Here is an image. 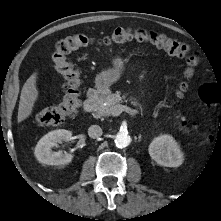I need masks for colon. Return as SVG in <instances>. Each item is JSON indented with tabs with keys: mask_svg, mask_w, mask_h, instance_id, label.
<instances>
[{
	"mask_svg": "<svg viewBox=\"0 0 221 221\" xmlns=\"http://www.w3.org/2000/svg\"><path fill=\"white\" fill-rule=\"evenodd\" d=\"M129 41L150 42L170 55L185 58V78H190L194 75L200 62L199 56L191 52L186 44L170 38L163 33L145 29L117 28L109 35L97 40V43L101 46H111ZM94 43L95 40L85 34H75L61 39L56 44L51 59L55 71L64 80V96L58 105L44 108L36 114V119L40 124L56 126L77 113L80 106L81 93L80 72L75 64L68 60L67 55ZM187 88L188 85L186 81H180L174 89V95L181 98ZM199 96L202 102L207 106L221 104V93L213 84H203L199 89ZM176 121L180 130L185 134L194 132V128L180 114H176ZM210 139V134H204V140L206 142H209Z\"/></svg>",
	"mask_w": 221,
	"mask_h": 221,
	"instance_id": "1",
	"label": "colon"
}]
</instances>
